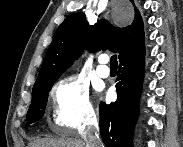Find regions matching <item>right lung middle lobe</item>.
I'll use <instances>...</instances> for the list:
<instances>
[{
  "mask_svg": "<svg viewBox=\"0 0 183 147\" xmlns=\"http://www.w3.org/2000/svg\"><path fill=\"white\" fill-rule=\"evenodd\" d=\"M52 86L53 85L33 91L31 105L27 113V121L29 123H34L42 118L48 99V93Z\"/></svg>",
  "mask_w": 183,
  "mask_h": 147,
  "instance_id": "dd1d6c3e",
  "label": "right lung middle lobe"
}]
</instances>
